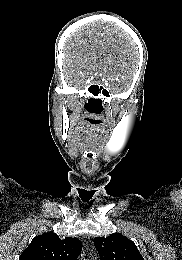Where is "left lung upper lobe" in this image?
Instances as JSON below:
<instances>
[{
    "label": "left lung upper lobe",
    "instance_id": "left-lung-upper-lobe-1",
    "mask_svg": "<svg viewBox=\"0 0 182 260\" xmlns=\"http://www.w3.org/2000/svg\"><path fill=\"white\" fill-rule=\"evenodd\" d=\"M94 245L101 260H144L135 243L119 233L97 237Z\"/></svg>",
    "mask_w": 182,
    "mask_h": 260
}]
</instances>
